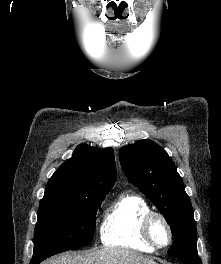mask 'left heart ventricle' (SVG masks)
Masks as SVG:
<instances>
[{
  "label": "left heart ventricle",
  "mask_w": 221,
  "mask_h": 264,
  "mask_svg": "<svg viewBox=\"0 0 221 264\" xmlns=\"http://www.w3.org/2000/svg\"><path fill=\"white\" fill-rule=\"evenodd\" d=\"M152 233L155 238V240L159 244H165L168 240V232L164 226V224L159 221L155 220L152 227Z\"/></svg>",
  "instance_id": "1"
}]
</instances>
